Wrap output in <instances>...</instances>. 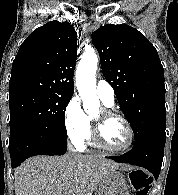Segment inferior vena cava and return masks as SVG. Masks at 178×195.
I'll list each match as a JSON object with an SVG mask.
<instances>
[{"label":"inferior vena cava","instance_id":"602c4592","mask_svg":"<svg viewBox=\"0 0 178 195\" xmlns=\"http://www.w3.org/2000/svg\"><path fill=\"white\" fill-rule=\"evenodd\" d=\"M69 152L70 154L77 155L78 153L75 151V149L72 147V145H69Z\"/></svg>","mask_w":178,"mask_h":195}]
</instances>
